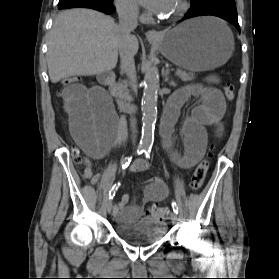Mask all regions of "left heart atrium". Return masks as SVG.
I'll return each mask as SVG.
<instances>
[{
    "mask_svg": "<svg viewBox=\"0 0 279 279\" xmlns=\"http://www.w3.org/2000/svg\"><path fill=\"white\" fill-rule=\"evenodd\" d=\"M139 2L153 13H161L168 0H139Z\"/></svg>",
    "mask_w": 279,
    "mask_h": 279,
    "instance_id": "left-heart-atrium-1",
    "label": "left heart atrium"
}]
</instances>
